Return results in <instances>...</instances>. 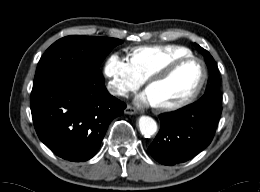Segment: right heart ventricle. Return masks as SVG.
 Here are the masks:
<instances>
[{
  "instance_id": "e07e8e85",
  "label": "right heart ventricle",
  "mask_w": 260,
  "mask_h": 192,
  "mask_svg": "<svg viewBox=\"0 0 260 192\" xmlns=\"http://www.w3.org/2000/svg\"><path fill=\"white\" fill-rule=\"evenodd\" d=\"M173 58V53H165L154 57L150 50H142L134 56L133 64L142 77H148L165 66Z\"/></svg>"
}]
</instances>
